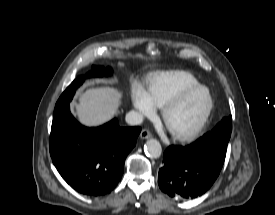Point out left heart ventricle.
<instances>
[{
    "label": "left heart ventricle",
    "mask_w": 275,
    "mask_h": 215,
    "mask_svg": "<svg viewBox=\"0 0 275 215\" xmlns=\"http://www.w3.org/2000/svg\"><path fill=\"white\" fill-rule=\"evenodd\" d=\"M208 106V96L204 90L188 95L168 117V126L176 132H184L194 127L202 118Z\"/></svg>",
    "instance_id": "1"
}]
</instances>
